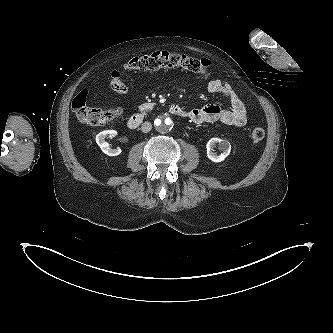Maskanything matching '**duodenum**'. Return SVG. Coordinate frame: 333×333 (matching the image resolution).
Listing matches in <instances>:
<instances>
[{
    "mask_svg": "<svg viewBox=\"0 0 333 333\" xmlns=\"http://www.w3.org/2000/svg\"><path fill=\"white\" fill-rule=\"evenodd\" d=\"M169 112L173 115L181 116V117H184L186 115V111L177 104H172L169 107ZM143 119L144 118L141 114H138V113L133 114L132 116L129 117L127 125L130 129H136L142 124Z\"/></svg>",
    "mask_w": 333,
    "mask_h": 333,
    "instance_id": "duodenum-1",
    "label": "duodenum"
}]
</instances>
